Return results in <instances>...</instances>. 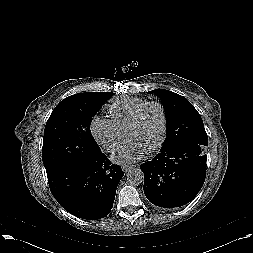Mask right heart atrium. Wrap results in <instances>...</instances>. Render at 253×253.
Masks as SVG:
<instances>
[{
    "label": "right heart atrium",
    "instance_id": "1",
    "mask_svg": "<svg viewBox=\"0 0 253 253\" xmlns=\"http://www.w3.org/2000/svg\"><path fill=\"white\" fill-rule=\"evenodd\" d=\"M90 129L98 145L108 152H113L121 142L122 132L110 119L94 117Z\"/></svg>",
    "mask_w": 253,
    "mask_h": 253
}]
</instances>
